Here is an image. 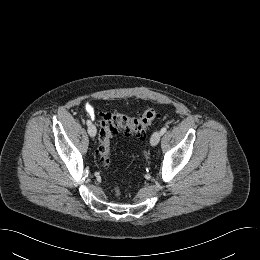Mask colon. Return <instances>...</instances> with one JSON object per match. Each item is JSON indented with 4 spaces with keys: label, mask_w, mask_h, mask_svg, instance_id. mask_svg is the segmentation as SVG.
Here are the masks:
<instances>
[{
    "label": "colon",
    "mask_w": 260,
    "mask_h": 260,
    "mask_svg": "<svg viewBox=\"0 0 260 260\" xmlns=\"http://www.w3.org/2000/svg\"><path fill=\"white\" fill-rule=\"evenodd\" d=\"M156 117V111L146 109L138 116H127L118 112H106L102 114L98 135L99 146L97 154L100 162L105 167L111 164V139L112 136L122 132L126 136L143 135ZM115 194L120 195V189L115 188Z\"/></svg>",
    "instance_id": "colon-1"
}]
</instances>
